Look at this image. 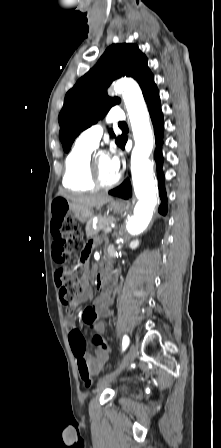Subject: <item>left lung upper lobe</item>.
Instances as JSON below:
<instances>
[{
    "mask_svg": "<svg viewBox=\"0 0 221 448\" xmlns=\"http://www.w3.org/2000/svg\"><path fill=\"white\" fill-rule=\"evenodd\" d=\"M122 76L133 77L139 83L143 95L156 86L147 65V57L136 44L109 46L97 64L65 96L59 114L60 140L65 152L70 150L80 132L97 123L113 105L120 102L117 97L107 96V88L113 80ZM109 132L114 136L111 130ZM123 138H117L118 146Z\"/></svg>",
    "mask_w": 221,
    "mask_h": 448,
    "instance_id": "1",
    "label": "left lung upper lobe"
}]
</instances>
